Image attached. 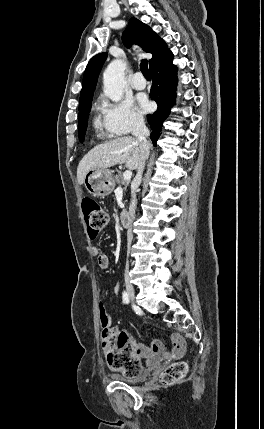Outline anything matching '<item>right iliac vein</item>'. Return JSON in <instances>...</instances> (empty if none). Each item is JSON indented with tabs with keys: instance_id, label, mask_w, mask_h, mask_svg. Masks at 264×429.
Here are the masks:
<instances>
[{
	"instance_id": "63e3f726",
	"label": "right iliac vein",
	"mask_w": 264,
	"mask_h": 429,
	"mask_svg": "<svg viewBox=\"0 0 264 429\" xmlns=\"http://www.w3.org/2000/svg\"><path fill=\"white\" fill-rule=\"evenodd\" d=\"M125 286H126V290H127L128 295L130 296V298L132 300H134V298H135L134 287L131 284L130 277H129V275L127 273L125 274Z\"/></svg>"
}]
</instances>
